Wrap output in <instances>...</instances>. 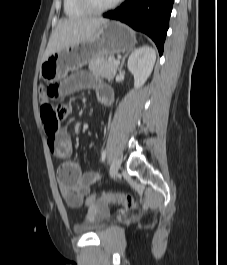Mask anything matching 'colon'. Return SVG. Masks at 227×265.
I'll use <instances>...</instances> for the list:
<instances>
[{"label": "colon", "instance_id": "1", "mask_svg": "<svg viewBox=\"0 0 227 265\" xmlns=\"http://www.w3.org/2000/svg\"><path fill=\"white\" fill-rule=\"evenodd\" d=\"M59 94V86L39 87V97L41 101V116L47 135H53L58 131L59 122L64 118L66 112H58V105H54V100ZM108 203L120 204L126 209H137L138 203L131 196L126 194H94L86 199V204L94 209Z\"/></svg>", "mask_w": 227, "mask_h": 265}]
</instances>
